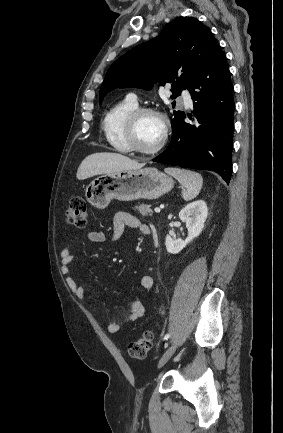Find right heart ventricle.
<instances>
[{
    "label": "right heart ventricle",
    "mask_w": 283,
    "mask_h": 433,
    "mask_svg": "<svg viewBox=\"0 0 283 433\" xmlns=\"http://www.w3.org/2000/svg\"><path fill=\"white\" fill-rule=\"evenodd\" d=\"M138 108L137 102L125 99L112 107L103 117L102 129L108 143L118 152L128 153L130 149L123 136L128 115Z\"/></svg>",
    "instance_id": "right-heart-ventricle-1"
}]
</instances>
